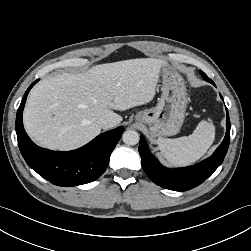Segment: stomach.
Returning a JSON list of instances; mask_svg holds the SVG:
<instances>
[{"label":"stomach","mask_w":251,"mask_h":251,"mask_svg":"<svg viewBox=\"0 0 251 251\" xmlns=\"http://www.w3.org/2000/svg\"><path fill=\"white\" fill-rule=\"evenodd\" d=\"M162 95L156 107L140 111L135 120L149 126L152 138L177 134L185 119L188 103L186 87L182 76L169 65L161 69Z\"/></svg>","instance_id":"1"}]
</instances>
